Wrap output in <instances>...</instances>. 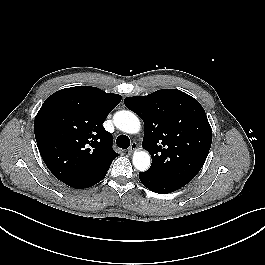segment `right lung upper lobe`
<instances>
[{"label": "right lung upper lobe", "instance_id": "right-lung-upper-lobe-1", "mask_svg": "<svg viewBox=\"0 0 265 265\" xmlns=\"http://www.w3.org/2000/svg\"><path fill=\"white\" fill-rule=\"evenodd\" d=\"M121 96L90 86L49 96L34 121L39 152L51 173L68 186L105 174L118 156L102 126Z\"/></svg>", "mask_w": 265, "mask_h": 265}]
</instances>
